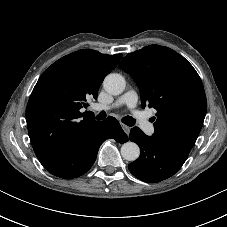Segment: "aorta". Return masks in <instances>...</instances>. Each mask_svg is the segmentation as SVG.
<instances>
[{"mask_svg": "<svg viewBox=\"0 0 227 227\" xmlns=\"http://www.w3.org/2000/svg\"><path fill=\"white\" fill-rule=\"evenodd\" d=\"M125 85L124 77L117 73L107 75L103 81L104 89L111 95L121 94ZM121 155L127 161H135L140 155V148L136 143L128 141L122 145Z\"/></svg>", "mask_w": 227, "mask_h": 227, "instance_id": "obj_1", "label": "aorta"}]
</instances>
